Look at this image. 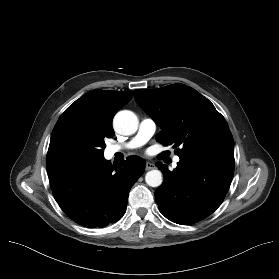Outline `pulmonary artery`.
Instances as JSON below:
<instances>
[{
	"label": "pulmonary artery",
	"mask_w": 279,
	"mask_h": 279,
	"mask_svg": "<svg viewBox=\"0 0 279 279\" xmlns=\"http://www.w3.org/2000/svg\"><path fill=\"white\" fill-rule=\"evenodd\" d=\"M156 123L151 118H145L140 122L137 134L128 142L121 145H111L107 148L106 152L109 157L114 154L126 150H131L144 145L155 133ZM180 158L174 157V165L178 164Z\"/></svg>",
	"instance_id": "1"
}]
</instances>
